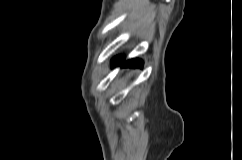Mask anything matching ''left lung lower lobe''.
Listing matches in <instances>:
<instances>
[{
    "mask_svg": "<svg viewBox=\"0 0 242 160\" xmlns=\"http://www.w3.org/2000/svg\"><path fill=\"white\" fill-rule=\"evenodd\" d=\"M123 59L121 57H115L112 61L113 64H121ZM143 61L139 59H132L125 61L122 65L125 67H142Z\"/></svg>",
    "mask_w": 242,
    "mask_h": 160,
    "instance_id": "1",
    "label": "left lung lower lobe"
}]
</instances>
